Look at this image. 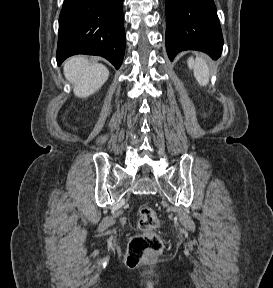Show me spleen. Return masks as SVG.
Segmentation results:
<instances>
[{
	"instance_id": "obj_1",
	"label": "spleen",
	"mask_w": 273,
	"mask_h": 288,
	"mask_svg": "<svg viewBox=\"0 0 273 288\" xmlns=\"http://www.w3.org/2000/svg\"><path fill=\"white\" fill-rule=\"evenodd\" d=\"M188 67L193 70L194 76L200 86H206L209 83L210 71L209 65L203 57H190L187 61Z\"/></svg>"
}]
</instances>
